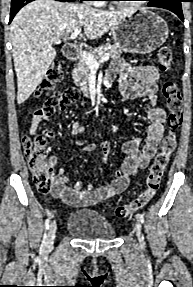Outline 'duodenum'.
<instances>
[{
    "label": "duodenum",
    "mask_w": 193,
    "mask_h": 287,
    "mask_svg": "<svg viewBox=\"0 0 193 287\" xmlns=\"http://www.w3.org/2000/svg\"><path fill=\"white\" fill-rule=\"evenodd\" d=\"M64 56L67 60L73 61L78 56V46L76 44H69L63 49ZM88 96H86L87 99Z\"/></svg>",
    "instance_id": "duodenum-1"
}]
</instances>
